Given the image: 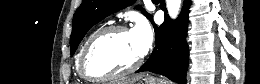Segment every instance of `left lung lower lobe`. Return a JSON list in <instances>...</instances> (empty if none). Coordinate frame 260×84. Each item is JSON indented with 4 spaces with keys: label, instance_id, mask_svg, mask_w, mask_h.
I'll list each match as a JSON object with an SVG mask.
<instances>
[{
    "label": "left lung lower lobe",
    "instance_id": "0a47b994",
    "mask_svg": "<svg viewBox=\"0 0 260 84\" xmlns=\"http://www.w3.org/2000/svg\"><path fill=\"white\" fill-rule=\"evenodd\" d=\"M164 1H161L163 8ZM190 0L184 1L182 13L173 21L165 14L164 23L155 28L156 46L149 59L137 72L150 71L179 84L186 83L189 50L185 41ZM163 10L167 11L165 8Z\"/></svg>",
    "mask_w": 260,
    "mask_h": 84
}]
</instances>
